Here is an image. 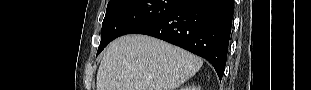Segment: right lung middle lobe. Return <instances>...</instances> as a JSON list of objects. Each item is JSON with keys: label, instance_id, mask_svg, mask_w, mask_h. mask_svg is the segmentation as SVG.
<instances>
[{"label": "right lung middle lobe", "instance_id": "1", "mask_svg": "<svg viewBox=\"0 0 311 90\" xmlns=\"http://www.w3.org/2000/svg\"><path fill=\"white\" fill-rule=\"evenodd\" d=\"M182 0H110L97 55L115 38L136 33L169 14Z\"/></svg>", "mask_w": 311, "mask_h": 90}]
</instances>
